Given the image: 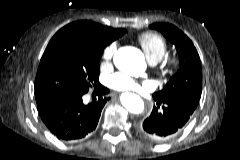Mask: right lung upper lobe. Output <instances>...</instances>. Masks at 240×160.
I'll return each mask as SVG.
<instances>
[{"mask_svg":"<svg viewBox=\"0 0 240 160\" xmlns=\"http://www.w3.org/2000/svg\"><path fill=\"white\" fill-rule=\"evenodd\" d=\"M82 36L86 41L98 44H110L122 36L124 29L105 27L90 21H78L63 27Z\"/></svg>","mask_w":240,"mask_h":160,"instance_id":"cb5924a9","label":"right lung upper lobe"}]
</instances>
